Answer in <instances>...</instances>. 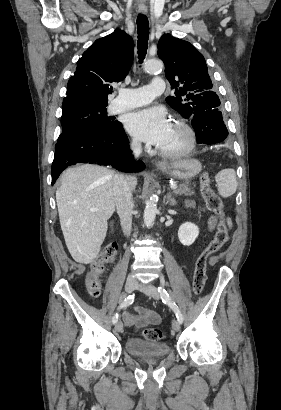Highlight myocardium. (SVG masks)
<instances>
[{
    "label": "myocardium",
    "mask_w": 281,
    "mask_h": 410,
    "mask_svg": "<svg viewBox=\"0 0 281 410\" xmlns=\"http://www.w3.org/2000/svg\"><path fill=\"white\" fill-rule=\"evenodd\" d=\"M173 124H175L176 126H178L179 128H181L186 136H187V143L186 145L177 150V151H166L163 149L158 148V153L166 158H179V157H183L187 154H189L191 151H193V149L195 148L196 145V133L195 130L193 129V127L187 123L185 120L183 119H179L176 118L173 120Z\"/></svg>",
    "instance_id": "myocardium-1"
}]
</instances>
